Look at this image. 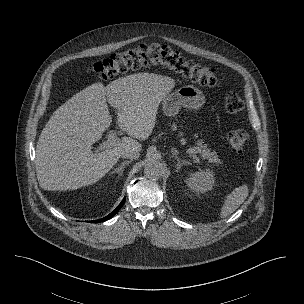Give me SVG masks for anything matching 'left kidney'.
Segmentation results:
<instances>
[{"mask_svg":"<svg viewBox=\"0 0 304 304\" xmlns=\"http://www.w3.org/2000/svg\"><path fill=\"white\" fill-rule=\"evenodd\" d=\"M190 190L205 193L212 189L215 179L214 173L210 169L191 173L185 180Z\"/></svg>","mask_w":304,"mask_h":304,"instance_id":"1","label":"left kidney"}]
</instances>
